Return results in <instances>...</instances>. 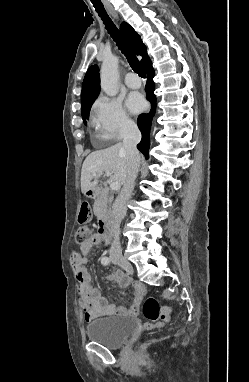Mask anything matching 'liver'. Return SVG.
Returning <instances> with one entry per match:
<instances>
[{
  "label": "liver",
  "mask_w": 249,
  "mask_h": 382,
  "mask_svg": "<svg viewBox=\"0 0 249 382\" xmlns=\"http://www.w3.org/2000/svg\"><path fill=\"white\" fill-rule=\"evenodd\" d=\"M129 168V158L122 143L89 154L81 170V191L96 190L98 178L105 172L122 185Z\"/></svg>",
  "instance_id": "obj_1"
}]
</instances>
